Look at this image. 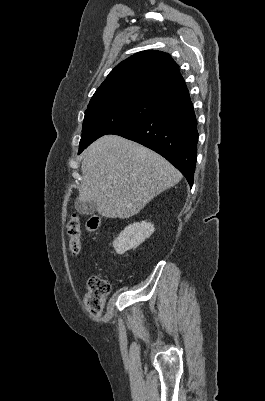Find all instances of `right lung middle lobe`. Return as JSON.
Returning <instances> with one entry per match:
<instances>
[{
  "instance_id": "right-lung-middle-lobe-1",
  "label": "right lung middle lobe",
  "mask_w": 265,
  "mask_h": 401,
  "mask_svg": "<svg viewBox=\"0 0 265 401\" xmlns=\"http://www.w3.org/2000/svg\"><path fill=\"white\" fill-rule=\"evenodd\" d=\"M162 104L147 100H121L88 106L79 143L81 153L99 137L132 124L161 108Z\"/></svg>"
}]
</instances>
